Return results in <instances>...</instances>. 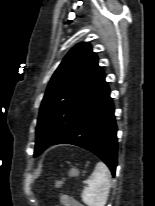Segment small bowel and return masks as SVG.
<instances>
[{
    "instance_id": "1",
    "label": "small bowel",
    "mask_w": 155,
    "mask_h": 206,
    "mask_svg": "<svg viewBox=\"0 0 155 206\" xmlns=\"http://www.w3.org/2000/svg\"><path fill=\"white\" fill-rule=\"evenodd\" d=\"M73 201L71 198L68 196H63L62 197V204L63 206H73Z\"/></svg>"
}]
</instances>
